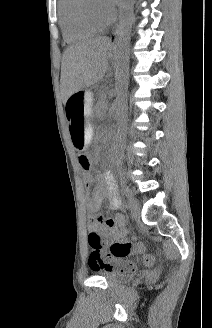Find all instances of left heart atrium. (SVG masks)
<instances>
[{"label":"left heart atrium","instance_id":"obj_1","mask_svg":"<svg viewBox=\"0 0 212 328\" xmlns=\"http://www.w3.org/2000/svg\"><path fill=\"white\" fill-rule=\"evenodd\" d=\"M102 2L104 7L112 12L117 3V0H102Z\"/></svg>","mask_w":212,"mask_h":328}]
</instances>
